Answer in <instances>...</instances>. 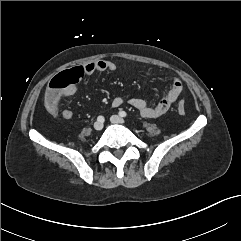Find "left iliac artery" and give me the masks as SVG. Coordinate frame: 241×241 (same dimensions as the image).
Wrapping results in <instances>:
<instances>
[{"label":"left iliac artery","mask_w":241,"mask_h":241,"mask_svg":"<svg viewBox=\"0 0 241 241\" xmlns=\"http://www.w3.org/2000/svg\"><path fill=\"white\" fill-rule=\"evenodd\" d=\"M119 115H120L121 117H126V116H127V113H126L125 111L121 110V111L119 112Z\"/></svg>","instance_id":"left-iliac-artery-1"}]
</instances>
